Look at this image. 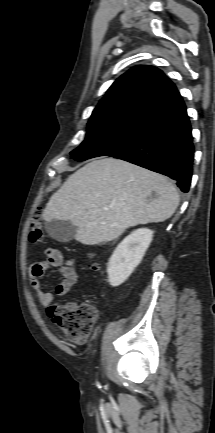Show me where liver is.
Returning a JSON list of instances; mask_svg holds the SVG:
<instances>
[{"mask_svg":"<svg viewBox=\"0 0 215 433\" xmlns=\"http://www.w3.org/2000/svg\"><path fill=\"white\" fill-rule=\"evenodd\" d=\"M179 205L171 180L129 162L94 160L69 176L54 193L43 219L70 221L74 238L96 245L118 238L127 228L164 222Z\"/></svg>","mask_w":215,"mask_h":433,"instance_id":"6515ba94","label":"liver"}]
</instances>
